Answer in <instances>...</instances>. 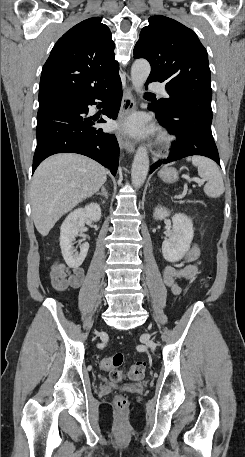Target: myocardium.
<instances>
[{
  "label": "myocardium",
  "instance_id": "f54148a6",
  "mask_svg": "<svg viewBox=\"0 0 245 457\" xmlns=\"http://www.w3.org/2000/svg\"><path fill=\"white\" fill-rule=\"evenodd\" d=\"M161 143L165 146H167L170 143V139L167 136L162 137Z\"/></svg>",
  "mask_w": 245,
  "mask_h": 457
}]
</instances>
